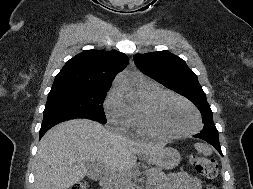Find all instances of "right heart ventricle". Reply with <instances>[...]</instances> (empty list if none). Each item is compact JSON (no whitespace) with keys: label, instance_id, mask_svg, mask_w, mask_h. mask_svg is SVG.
<instances>
[{"label":"right heart ventricle","instance_id":"obj_1","mask_svg":"<svg viewBox=\"0 0 253 189\" xmlns=\"http://www.w3.org/2000/svg\"><path fill=\"white\" fill-rule=\"evenodd\" d=\"M136 92L140 101L138 104L130 106V123L136 130L146 133L142 126L144 108L150 100L165 91L152 82H139L136 84Z\"/></svg>","mask_w":253,"mask_h":189}]
</instances>
